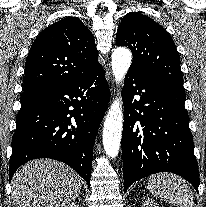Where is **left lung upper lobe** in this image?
Returning a JSON list of instances; mask_svg holds the SVG:
<instances>
[{
  "label": "left lung upper lobe",
  "mask_w": 206,
  "mask_h": 207,
  "mask_svg": "<svg viewBox=\"0 0 206 207\" xmlns=\"http://www.w3.org/2000/svg\"><path fill=\"white\" fill-rule=\"evenodd\" d=\"M116 43L133 53L128 72L183 87L175 43L153 19L138 12L126 14L117 30Z\"/></svg>",
  "instance_id": "5c2ea615"
}]
</instances>
